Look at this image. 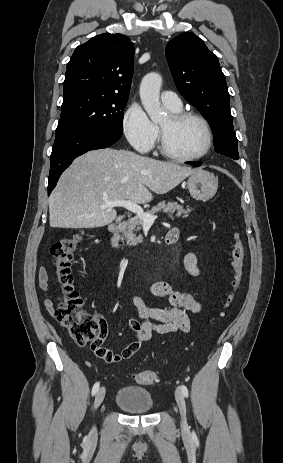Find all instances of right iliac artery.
<instances>
[{
	"instance_id": "obj_1",
	"label": "right iliac artery",
	"mask_w": 283,
	"mask_h": 463,
	"mask_svg": "<svg viewBox=\"0 0 283 463\" xmlns=\"http://www.w3.org/2000/svg\"><path fill=\"white\" fill-rule=\"evenodd\" d=\"M99 385L100 383L99 382H96L92 388V395H95L99 389Z\"/></svg>"
}]
</instances>
